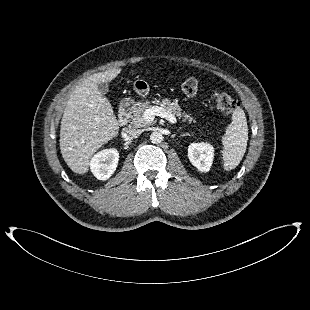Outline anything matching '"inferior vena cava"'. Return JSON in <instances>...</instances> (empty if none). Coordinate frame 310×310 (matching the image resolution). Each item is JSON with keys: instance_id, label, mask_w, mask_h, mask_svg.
<instances>
[{"instance_id": "obj_1", "label": "inferior vena cava", "mask_w": 310, "mask_h": 310, "mask_svg": "<svg viewBox=\"0 0 310 310\" xmlns=\"http://www.w3.org/2000/svg\"><path fill=\"white\" fill-rule=\"evenodd\" d=\"M125 133H126V136L130 139H135L137 138L141 133L142 131L141 130H136V129H133V128H128L125 130Z\"/></svg>"}]
</instances>
